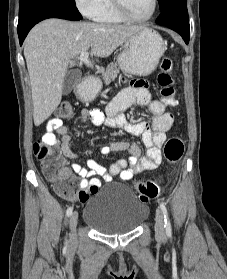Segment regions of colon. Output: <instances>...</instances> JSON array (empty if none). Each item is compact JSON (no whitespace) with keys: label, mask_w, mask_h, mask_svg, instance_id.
<instances>
[{"label":"colon","mask_w":227,"mask_h":279,"mask_svg":"<svg viewBox=\"0 0 227 279\" xmlns=\"http://www.w3.org/2000/svg\"><path fill=\"white\" fill-rule=\"evenodd\" d=\"M173 62L169 58L161 61V71L158 74L157 82L160 87V94L164 101L170 106H176L178 101L176 98V90L174 87V79L172 77ZM74 112V106L63 104L59 110V119L68 120ZM56 119V120H59ZM56 142L55 136L50 135L42 142H36L33 146L35 158L40 162L43 173L46 178L52 182L56 189L66 197L78 200L85 199L86 195L77 189L76 180L69 179L67 181L58 182L55 177L57 168L62 163L61 155L58 151L52 149L48 145ZM184 153V141L180 136H171L164 147V156L169 163H177L181 160ZM93 191L98 189L96 184L91 185ZM137 192L141 202L146 203L160 196V185L155 179L140 181L137 183Z\"/></svg>","instance_id":"1"}]
</instances>
